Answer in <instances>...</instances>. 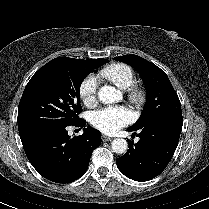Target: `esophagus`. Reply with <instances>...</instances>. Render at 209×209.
Here are the masks:
<instances>
[{
    "mask_svg": "<svg viewBox=\"0 0 209 209\" xmlns=\"http://www.w3.org/2000/svg\"><path fill=\"white\" fill-rule=\"evenodd\" d=\"M113 138H111V137H108V136H106V135H102V141L103 142H107V141H111Z\"/></svg>",
    "mask_w": 209,
    "mask_h": 209,
    "instance_id": "1",
    "label": "esophagus"
}]
</instances>
